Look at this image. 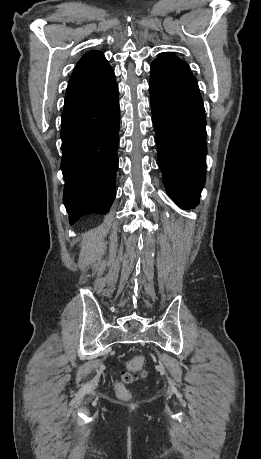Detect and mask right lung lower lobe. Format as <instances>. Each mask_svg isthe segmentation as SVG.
Returning <instances> with one entry per match:
<instances>
[{
	"label": "right lung lower lobe",
	"instance_id": "right-lung-lower-lobe-1",
	"mask_svg": "<svg viewBox=\"0 0 261 459\" xmlns=\"http://www.w3.org/2000/svg\"><path fill=\"white\" fill-rule=\"evenodd\" d=\"M119 125L116 82L62 114L63 202L70 224L90 213L106 214L114 201Z\"/></svg>",
	"mask_w": 261,
	"mask_h": 459
}]
</instances>
